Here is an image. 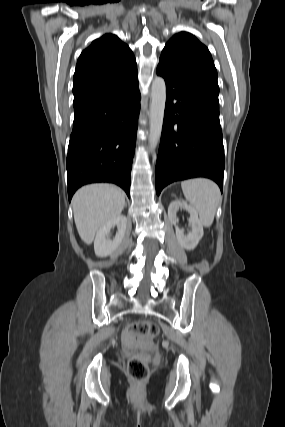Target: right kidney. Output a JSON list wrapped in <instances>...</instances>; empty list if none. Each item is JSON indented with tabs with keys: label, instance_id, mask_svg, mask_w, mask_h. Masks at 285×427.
Here are the masks:
<instances>
[{
	"label": "right kidney",
	"instance_id": "1",
	"mask_svg": "<svg viewBox=\"0 0 285 427\" xmlns=\"http://www.w3.org/2000/svg\"><path fill=\"white\" fill-rule=\"evenodd\" d=\"M116 226L118 231L113 240L106 238L111 228ZM127 228V218L119 215L99 228L94 240V251L98 257L112 255L121 245Z\"/></svg>",
	"mask_w": 285,
	"mask_h": 427
}]
</instances>
